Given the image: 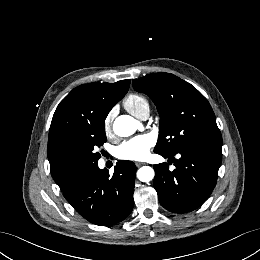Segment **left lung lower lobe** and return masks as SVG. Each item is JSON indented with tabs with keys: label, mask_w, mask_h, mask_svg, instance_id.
I'll use <instances>...</instances> for the list:
<instances>
[{
	"label": "left lung lower lobe",
	"mask_w": 260,
	"mask_h": 260,
	"mask_svg": "<svg viewBox=\"0 0 260 260\" xmlns=\"http://www.w3.org/2000/svg\"><path fill=\"white\" fill-rule=\"evenodd\" d=\"M173 160L175 169L167 163L154 165V187L160 204L170 212L185 213L200 207L211 194L217 182L221 164V146L198 145L175 155L158 153Z\"/></svg>",
	"instance_id": "obj_1"
}]
</instances>
